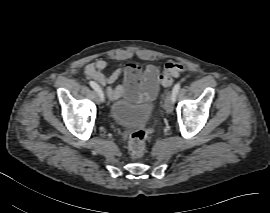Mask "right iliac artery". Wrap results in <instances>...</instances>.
Masks as SVG:
<instances>
[{
  "label": "right iliac artery",
  "instance_id": "obj_1",
  "mask_svg": "<svg viewBox=\"0 0 270 213\" xmlns=\"http://www.w3.org/2000/svg\"><path fill=\"white\" fill-rule=\"evenodd\" d=\"M89 85L98 93V95L101 98V101H104V94H103L101 88L99 87V85L97 83H95L94 81H90Z\"/></svg>",
  "mask_w": 270,
  "mask_h": 213
}]
</instances>
